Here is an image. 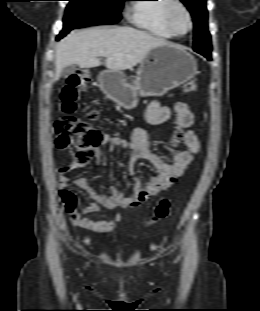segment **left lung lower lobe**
<instances>
[{
	"mask_svg": "<svg viewBox=\"0 0 260 311\" xmlns=\"http://www.w3.org/2000/svg\"><path fill=\"white\" fill-rule=\"evenodd\" d=\"M196 52L202 54V55L205 56L208 60H212V58H211V52H210V51L198 50V51H196Z\"/></svg>",
	"mask_w": 260,
	"mask_h": 311,
	"instance_id": "left-lung-lower-lobe-1",
	"label": "left lung lower lobe"
}]
</instances>
